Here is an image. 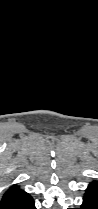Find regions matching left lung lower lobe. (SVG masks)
I'll list each match as a JSON object with an SVG mask.
<instances>
[{
    "mask_svg": "<svg viewBox=\"0 0 98 209\" xmlns=\"http://www.w3.org/2000/svg\"><path fill=\"white\" fill-rule=\"evenodd\" d=\"M79 209H98V183L88 185L83 196V203Z\"/></svg>",
    "mask_w": 98,
    "mask_h": 209,
    "instance_id": "left-lung-lower-lobe-1",
    "label": "left lung lower lobe"
}]
</instances>
